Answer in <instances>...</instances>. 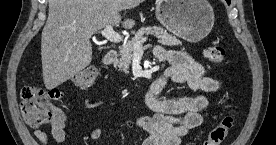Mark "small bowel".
Segmentation results:
<instances>
[{
    "label": "small bowel",
    "instance_id": "obj_1",
    "mask_svg": "<svg viewBox=\"0 0 276 145\" xmlns=\"http://www.w3.org/2000/svg\"><path fill=\"white\" fill-rule=\"evenodd\" d=\"M154 54L160 60H167L170 67L152 83L145 95V104L153 115L129 120L128 125L149 134L142 145H181L183 137L203 123L209 101L204 95L160 98L163 86L167 81H172L186 84L194 91L216 92L220 89V82L206 76L204 67L184 51L165 50L157 46ZM159 81L162 82L161 86L158 85ZM84 105L92 109L99 103L85 100ZM65 128L66 115L56 110L51 123V135L58 144L64 143L66 139ZM34 135L43 145H48V136L45 132L36 129ZM101 137V129L89 132L91 140L99 141Z\"/></svg>",
    "mask_w": 276,
    "mask_h": 145
}]
</instances>
